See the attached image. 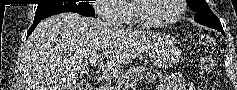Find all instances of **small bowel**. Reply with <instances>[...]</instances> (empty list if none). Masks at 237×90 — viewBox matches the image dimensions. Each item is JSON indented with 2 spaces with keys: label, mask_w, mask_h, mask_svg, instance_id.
Wrapping results in <instances>:
<instances>
[{
  "label": "small bowel",
  "mask_w": 237,
  "mask_h": 90,
  "mask_svg": "<svg viewBox=\"0 0 237 90\" xmlns=\"http://www.w3.org/2000/svg\"><path fill=\"white\" fill-rule=\"evenodd\" d=\"M201 71L211 72L212 65L210 63L202 64ZM157 90H195V84L187 82L184 76L179 73H169L160 78Z\"/></svg>",
  "instance_id": "small-bowel-1"
}]
</instances>
